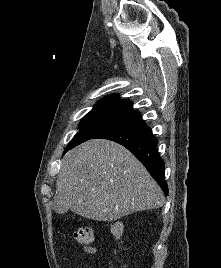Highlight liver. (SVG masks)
<instances>
[{
	"mask_svg": "<svg viewBox=\"0 0 221 268\" xmlns=\"http://www.w3.org/2000/svg\"><path fill=\"white\" fill-rule=\"evenodd\" d=\"M165 198L145 167L112 141H87L63 158L53 209L88 219L116 221L163 206Z\"/></svg>",
	"mask_w": 221,
	"mask_h": 268,
	"instance_id": "6515ba94",
	"label": "liver"
}]
</instances>
